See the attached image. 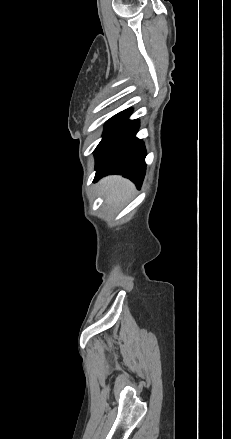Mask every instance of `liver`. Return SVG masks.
<instances>
[{
    "mask_svg": "<svg viewBox=\"0 0 231 439\" xmlns=\"http://www.w3.org/2000/svg\"><path fill=\"white\" fill-rule=\"evenodd\" d=\"M105 200L117 204L130 195L134 189L133 184L121 176H109L100 182Z\"/></svg>",
    "mask_w": 231,
    "mask_h": 439,
    "instance_id": "6515ba94",
    "label": "liver"
}]
</instances>
